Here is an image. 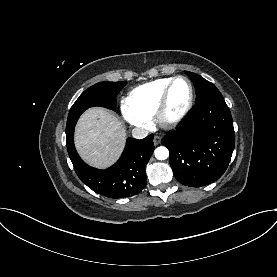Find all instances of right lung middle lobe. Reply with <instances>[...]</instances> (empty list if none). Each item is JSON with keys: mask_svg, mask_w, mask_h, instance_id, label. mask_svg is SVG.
Returning a JSON list of instances; mask_svg holds the SVG:
<instances>
[{"mask_svg": "<svg viewBox=\"0 0 277 277\" xmlns=\"http://www.w3.org/2000/svg\"><path fill=\"white\" fill-rule=\"evenodd\" d=\"M126 83V81L100 82L85 90L70 109L66 132L71 131L75 127L80 115L90 107L101 106L108 109H115L116 96Z\"/></svg>", "mask_w": 277, "mask_h": 277, "instance_id": "dd1d6c3e", "label": "right lung middle lobe"}]
</instances>
